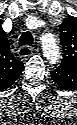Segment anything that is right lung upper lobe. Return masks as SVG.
I'll list each match as a JSON object with an SVG mask.
<instances>
[{"mask_svg":"<svg viewBox=\"0 0 77 125\" xmlns=\"http://www.w3.org/2000/svg\"><path fill=\"white\" fill-rule=\"evenodd\" d=\"M23 63L18 61L10 52L9 43L5 32L0 31V87L7 89L19 77Z\"/></svg>","mask_w":77,"mask_h":125,"instance_id":"1","label":"right lung upper lobe"}]
</instances>
